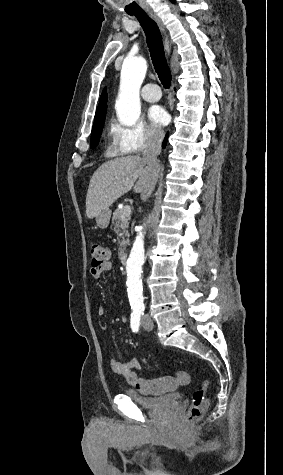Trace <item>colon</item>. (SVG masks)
Listing matches in <instances>:
<instances>
[{
  "instance_id": "colon-1",
  "label": "colon",
  "mask_w": 283,
  "mask_h": 475,
  "mask_svg": "<svg viewBox=\"0 0 283 475\" xmlns=\"http://www.w3.org/2000/svg\"><path fill=\"white\" fill-rule=\"evenodd\" d=\"M90 254L92 258V268L108 267L110 265L108 262L110 255L109 251L101 244L97 242L94 243L91 246ZM208 387V382H202L199 388L194 391L190 409L184 417L183 423L198 419L204 414L207 405L205 393L208 390Z\"/></svg>"
}]
</instances>
